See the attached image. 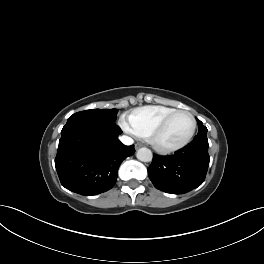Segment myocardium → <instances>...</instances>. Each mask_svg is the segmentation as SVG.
<instances>
[{"instance_id": "f54148a6", "label": "myocardium", "mask_w": 264, "mask_h": 264, "mask_svg": "<svg viewBox=\"0 0 264 264\" xmlns=\"http://www.w3.org/2000/svg\"><path fill=\"white\" fill-rule=\"evenodd\" d=\"M185 113L189 115L192 120V129L190 134L181 142L172 145H162L158 142V136L165 130L170 120L177 114ZM197 129V120L195 116L188 110L176 109L169 113L150 133L148 140L151 146L160 153H171L178 151L187 146L195 136Z\"/></svg>"}]
</instances>
